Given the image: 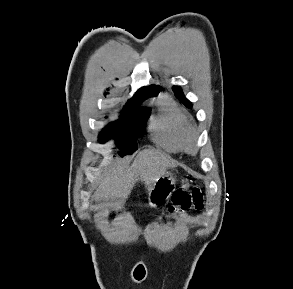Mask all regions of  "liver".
<instances>
[{
    "label": "liver",
    "instance_id": "6515ba94",
    "mask_svg": "<svg viewBox=\"0 0 293 289\" xmlns=\"http://www.w3.org/2000/svg\"><path fill=\"white\" fill-rule=\"evenodd\" d=\"M174 166H176L174 160L159 152L143 150L139 152L131 166L127 167L123 162L117 161L108 172L100 175L94 198L106 201L126 199L138 181L143 182L150 191L154 183L166 174V168Z\"/></svg>",
    "mask_w": 293,
    "mask_h": 289
}]
</instances>
